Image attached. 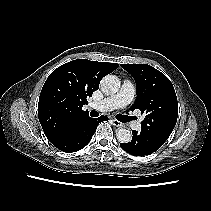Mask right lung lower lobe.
<instances>
[{
    "instance_id": "obj_1",
    "label": "right lung lower lobe",
    "mask_w": 211,
    "mask_h": 211,
    "mask_svg": "<svg viewBox=\"0 0 211 211\" xmlns=\"http://www.w3.org/2000/svg\"><path fill=\"white\" fill-rule=\"evenodd\" d=\"M108 120L106 116L99 118H84L66 125L53 139L49 141L59 150L72 153L84 148L94 135L98 124Z\"/></svg>"
}]
</instances>
